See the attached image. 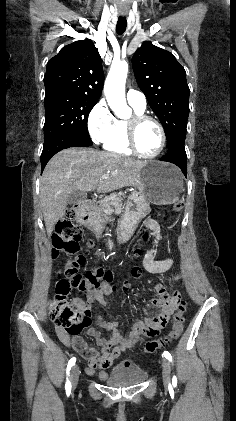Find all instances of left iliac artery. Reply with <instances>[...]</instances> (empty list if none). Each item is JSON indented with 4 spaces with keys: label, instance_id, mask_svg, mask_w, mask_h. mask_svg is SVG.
I'll list each match as a JSON object with an SVG mask.
<instances>
[{
    "label": "left iliac artery",
    "instance_id": "obj_1",
    "mask_svg": "<svg viewBox=\"0 0 236 421\" xmlns=\"http://www.w3.org/2000/svg\"><path fill=\"white\" fill-rule=\"evenodd\" d=\"M163 355L166 359H168L169 361H172V356L168 351H164Z\"/></svg>",
    "mask_w": 236,
    "mask_h": 421
}]
</instances>
